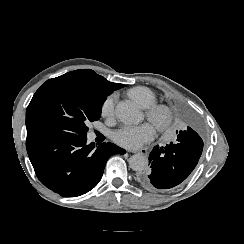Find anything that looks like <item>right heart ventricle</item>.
Instances as JSON below:
<instances>
[{"instance_id": "obj_1", "label": "right heart ventricle", "mask_w": 244, "mask_h": 244, "mask_svg": "<svg viewBox=\"0 0 244 244\" xmlns=\"http://www.w3.org/2000/svg\"><path fill=\"white\" fill-rule=\"evenodd\" d=\"M126 95L143 109L152 107L156 103L154 93L147 87L138 86L131 88L126 91Z\"/></svg>"}]
</instances>
